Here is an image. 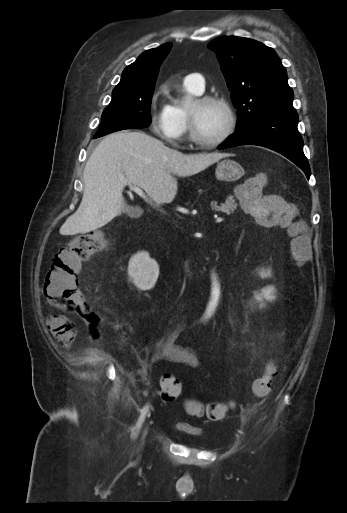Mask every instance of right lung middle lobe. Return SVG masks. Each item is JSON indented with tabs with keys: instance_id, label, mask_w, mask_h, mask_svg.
Instances as JSON below:
<instances>
[{
	"instance_id": "1",
	"label": "right lung middle lobe",
	"mask_w": 347,
	"mask_h": 513,
	"mask_svg": "<svg viewBox=\"0 0 347 513\" xmlns=\"http://www.w3.org/2000/svg\"><path fill=\"white\" fill-rule=\"evenodd\" d=\"M155 85L139 88H117L103 111L102 122L95 136L133 128H145L151 123L150 105Z\"/></svg>"
}]
</instances>
